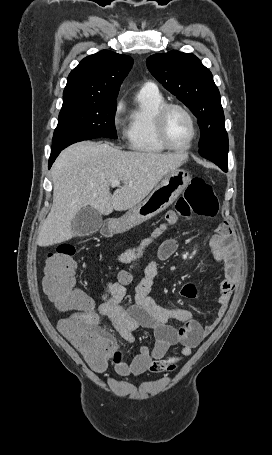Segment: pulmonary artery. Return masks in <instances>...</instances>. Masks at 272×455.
I'll return each instance as SVG.
<instances>
[{"label":"pulmonary artery","mask_w":272,"mask_h":455,"mask_svg":"<svg viewBox=\"0 0 272 455\" xmlns=\"http://www.w3.org/2000/svg\"><path fill=\"white\" fill-rule=\"evenodd\" d=\"M142 89L157 90V86L153 82H146Z\"/></svg>","instance_id":"pulmonary-artery-1"}]
</instances>
